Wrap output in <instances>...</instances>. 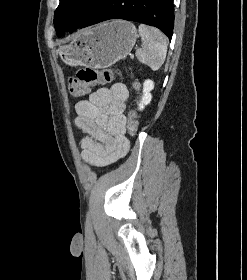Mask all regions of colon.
I'll return each mask as SVG.
<instances>
[{"label": "colon", "mask_w": 247, "mask_h": 280, "mask_svg": "<svg viewBox=\"0 0 247 280\" xmlns=\"http://www.w3.org/2000/svg\"><path fill=\"white\" fill-rule=\"evenodd\" d=\"M114 74L115 72L111 69L82 68L69 79V93L75 97L84 95L96 85L111 82ZM133 86L135 89L139 88L138 83H134ZM127 130L131 136H135L138 131V117L134 110L128 115Z\"/></svg>", "instance_id": "colon-1"}]
</instances>
